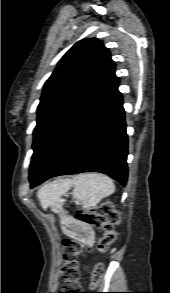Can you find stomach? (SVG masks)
Segmentation results:
<instances>
[{
  "label": "stomach",
  "instance_id": "0dacf381",
  "mask_svg": "<svg viewBox=\"0 0 170 293\" xmlns=\"http://www.w3.org/2000/svg\"><path fill=\"white\" fill-rule=\"evenodd\" d=\"M49 205L53 207V210L56 213L61 214L62 223L66 224V222L68 221V218L65 216V211L63 210V207H62L63 204L59 196L51 200ZM64 229L67 234L83 242H88L89 240H91L93 236V232L91 228H89L88 226H83L81 228V231H78V229L75 226H68L66 224ZM80 232H83L84 234H81Z\"/></svg>",
  "mask_w": 170,
  "mask_h": 293
}]
</instances>
